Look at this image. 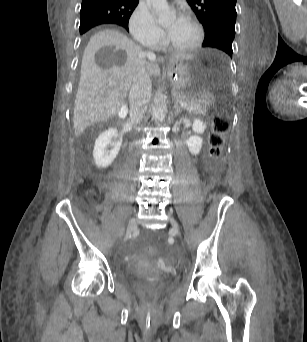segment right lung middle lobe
Here are the masks:
<instances>
[{"label": "right lung middle lobe", "mask_w": 307, "mask_h": 342, "mask_svg": "<svg viewBox=\"0 0 307 342\" xmlns=\"http://www.w3.org/2000/svg\"><path fill=\"white\" fill-rule=\"evenodd\" d=\"M116 19L117 16L115 14L107 11H80V33L83 34L97 25L113 23Z\"/></svg>", "instance_id": "dd1d6c3e"}]
</instances>
